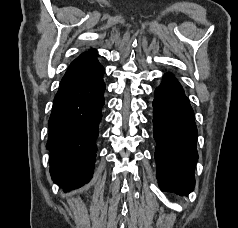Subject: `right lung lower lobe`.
<instances>
[{
    "mask_svg": "<svg viewBox=\"0 0 238 228\" xmlns=\"http://www.w3.org/2000/svg\"><path fill=\"white\" fill-rule=\"evenodd\" d=\"M102 75L59 88L49 118L50 173L66 190L87 183L94 171L105 83Z\"/></svg>",
    "mask_w": 238,
    "mask_h": 228,
    "instance_id": "right-lung-lower-lobe-1",
    "label": "right lung lower lobe"
}]
</instances>
